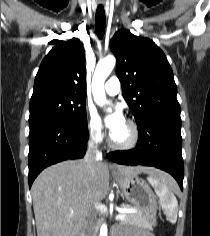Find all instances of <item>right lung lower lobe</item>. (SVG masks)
Here are the masks:
<instances>
[{"instance_id":"98d812e1","label":"right lung lower lobe","mask_w":210,"mask_h":236,"mask_svg":"<svg viewBox=\"0 0 210 236\" xmlns=\"http://www.w3.org/2000/svg\"><path fill=\"white\" fill-rule=\"evenodd\" d=\"M87 140V123L78 125L50 120L30 126L29 187L47 166L67 159L82 158L86 152Z\"/></svg>"}]
</instances>
